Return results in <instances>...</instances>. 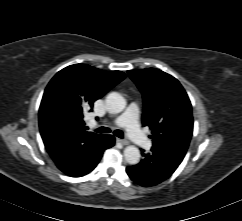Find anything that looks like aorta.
Masks as SVG:
<instances>
[{
	"mask_svg": "<svg viewBox=\"0 0 242 221\" xmlns=\"http://www.w3.org/2000/svg\"><path fill=\"white\" fill-rule=\"evenodd\" d=\"M106 105L111 113L117 114L126 107L125 98L117 92H111L106 97ZM124 158L130 165H136L140 161V151L137 147L129 145L124 149Z\"/></svg>",
	"mask_w": 242,
	"mask_h": 221,
	"instance_id": "aorta-1",
	"label": "aorta"
}]
</instances>
